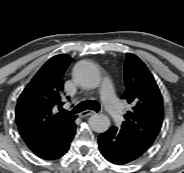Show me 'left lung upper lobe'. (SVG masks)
<instances>
[{
	"mask_svg": "<svg viewBox=\"0 0 184 173\" xmlns=\"http://www.w3.org/2000/svg\"><path fill=\"white\" fill-rule=\"evenodd\" d=\"M124 80L126 88L121 98L132 109L124 115L125 121L119 129L146 151L162 126V96L146 65L131 53L126 54Z\"/></svg>",
	"mask_w": 184,
	"mask_h": 173,
	"instance_id": "left-lung-upper-lobe-1",
	"label": "left lung upper lobe"
}]
</instances>
